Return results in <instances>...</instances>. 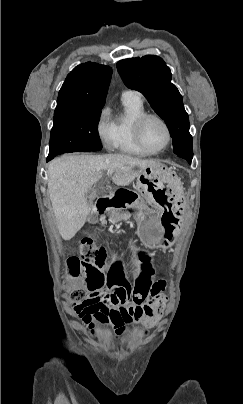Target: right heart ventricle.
Wrapping results in <instances>:
<instances>
[{
    "instance_id": "obj_1",
    "label": "right heart ventricle",
    "mask_w": 243,
    "mask_h": 404,
    "mask_svg": "<svg viewBox=\"0 0 243 404\" xmlns=\"http://www.w3.org/2000/svg\"><path fill=\"white\" fill-rule=\"evenodd\" d=\"M121 105L122 114L113 120L116 134V150L129 156H151L153 153L138 144L132 130L133 122L145 112L140 93L136 90L123 91Z\"/></svg>"
}]
</instances>
